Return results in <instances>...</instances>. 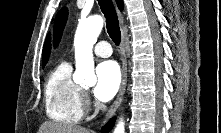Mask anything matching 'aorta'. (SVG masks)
<instances>
[{"label":"aorta","mask_w":221,"mask_h":133,"mask_svg":"<svg viewBox=\"0 0 221 133\" xmlns=\"http://www.w3.org/2000/svg\"><path fill=\"white\" fill-rule=\"evenodd\" d=\"M104 20L101 16H91L79 22L75 38L76 71L73 80L76 83L94 85L96 75L94 73L93 45L103 28ZM114 133H125L124 122L121 119L114 129Z\"/></svg>","instance_id":"obj_1"}]
</instances>
